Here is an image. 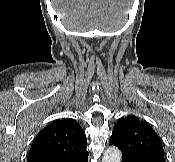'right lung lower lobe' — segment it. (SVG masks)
I'll use <instances>...</instances> for the list:
<instances>
[{"mask_svg": "<svg viewBox=\"0 0 175 162\" xmlns=\"http://www.w3.org/2000/svg\"><path fill=\"white\" fill-rule=\"evenodd\" d=\"M81 162H88V157L82 160Z\"/></svg>", "mask_w": 175, "mask_h": 162, "instance_id": "98d812e1", "label": "right lung lower lobe"}]
</instances>
